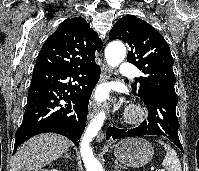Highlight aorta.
I'll list each match as a JSON object with an SVG mask.
<instances>
[{"instance_id":"1","label":"aorta","mask_w":199,"mask_h":171,"mask_svg":"<svg viewBox=\"0 0 199 171\" xmlns=\"http://www.w3.org/2000/svg\"><path fill=\"white\" fill-rule=\"evenodd\" d=\"M126 55L124 44L113 41L105 49V57L109 66L117 67ZM106 119L104 111L98 113L86 128L80 143V153L87 171H103L102 165L95 158L90 142L97 135Z\"/></svg>"}]
</instances>
